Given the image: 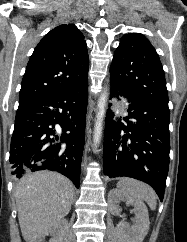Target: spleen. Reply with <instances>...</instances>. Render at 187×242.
<instances>
[{
	"label": "spleen",
	"mask_w": 187,
	"mask_h": 242,
	"mask_svg": "<svg viewBox=\"0 0 187 242\" xmlns=\"http://www.w3.org/2000/svg\"><path fill=\"white\" fill-rule=\"evenodd\" d=\"M117 187L134 199L144 200L152 210L156 209L157 196L149 185L135 179L122 178L117 183Z\"/></svg>",
	"instance_id": "1"
}]
</instances>
